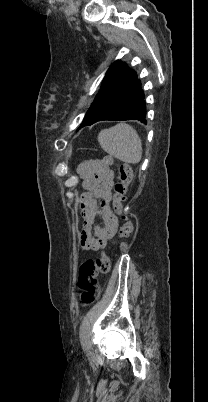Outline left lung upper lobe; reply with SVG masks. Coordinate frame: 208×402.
I'll use <instances>...</instances> for the list:
<instances>
[{
	"label": "left lung upper lobe",
	"mask_w": 208,
	"mask_h": 402,
	"mask_svg": "<svg viewBox=\"0 0 208 402\" xmlns=\"http://www.w3.org/2000/svg\"><path fill=\"white\" fill-rule=\"evenodd\" d=\"M136 79V73L130 71L126 64L115 61L109 67L101 89L86 112L79 128L92 125L99 120L108 109L126 94Z\"/></svg>",
	"instance_id": "5c2ea615"
}]
</instances>
